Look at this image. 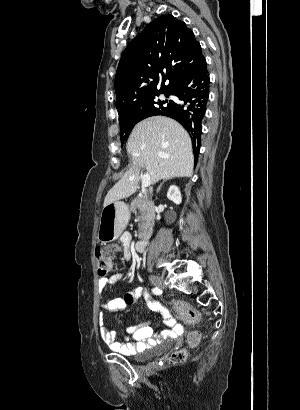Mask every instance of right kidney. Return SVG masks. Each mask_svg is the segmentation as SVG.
Returning a JSON list of instances; mask_svg holds the SVG:
<instances>
[{"mask_svg": "<svg viewBox=\"0 0 300 410\" xmlns=\"http://www.w3.org/2000/svg\"><path fill=\"white\" fill-rule=\"evenodd\" d=\"M167 198L177 205L180 204L182 197L179 188L175 185L170 186L167 192Z\"/></svg>", "mask_w": 300, "mask_h": 410, "instance_id": "ca27d5eb", "label": "right kidney"}]
</instances>
